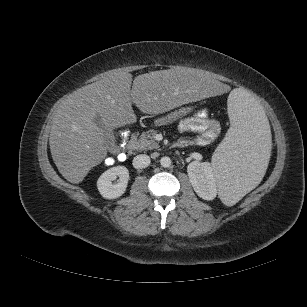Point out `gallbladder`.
<instances>
[{
  "mask_svg": "<svg viewBox=\"0 0 307 307\" xmlns=\"http://www.w3.org/2000/svg\"><path fill=\"white\" fill-rule=\"evenodd\" d=\"M94 122L101 129L105 143L112 142L114 140V133L112 129L107 127L100 117H96Z\"/></svg>",
  "mask_w": 307,
  "mask_h": 307,
  "instance_id": "1",
  "label": "gallbladder"
}]
</instances>
